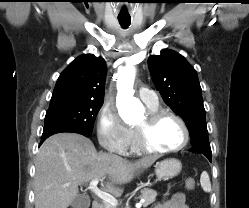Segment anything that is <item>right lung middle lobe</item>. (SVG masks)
<instances>
[{
    "mask_svg": "<svg viewBox=\"0 0 249 208\" xmlns=\"http://www.w3.org/2000/svg\"><path fill=\"white\" fill-rule=\"evenodd\" d=\"M103 102H68L50 106L45 116V127H59L91 135L97 113Z\"/></svg>",
    "mask_w": 249,
    "mask_h": 208,
    "instance_id": "obj_1",
    "label": "right lung middle lobe"
}]
</instances>
